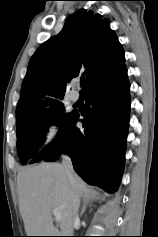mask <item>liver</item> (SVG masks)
I'll return each mask as SVG.
<instances>
[{
    "mask_svg": "<svg viewBox=\"0 0 158 237\" xmlns=\"http://www.w3.org/2000/svg\"><path fill=\"white\" fill-rule=\"evenodd\" d=\"M73 178L79 200L98 195L77 174L74 173ZM17 191L27 236L72 234L74 189L62 164L44 162L21 169L17 175ZM53 208L61 214L59 228L53 225Z\"/></svg>",
    "mask_w": 158,
    "mask_h": 237,
    "instance_id": "liver-1",
    "label": "liver"
}]
</instances>
